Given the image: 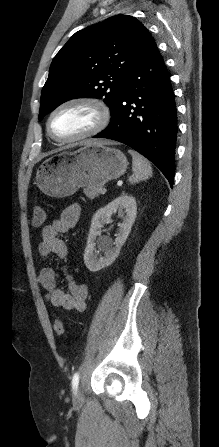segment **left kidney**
I'll use <instances>...</instances> for the list:
<instances>
[{
  "label": "left kidney",
  "mask_w": 219,
  "mask_h": 447,
  "mask_svg": "<svg viewBox=\"0 0 219 447\" xmlns=\"http://www.w3.org/2000/svg\"><path fill=\"white\" fill-rule=\"evenodd\" d=\"M114 213H118V216L122 219L115 242H112L106 237L97 239L101 234V228ZM136 215V200L128 194L117 197L108 205L96 211L91 220V227L84 253V263L91 272H97L115 261L131 231ZM96 245L104 252L103 256L97 254Z\"/></svg>",
  "instance_id": "left-kidney-1"
}]
</instances>
